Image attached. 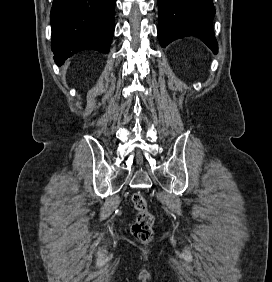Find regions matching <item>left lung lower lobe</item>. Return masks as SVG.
<instances>
[{"instance_id":"left-lung-lower-lobe-1","label":"left lung lower lobe","mask_w":272,"mask_h":282,"mask_svg":"<svg viewBox=\"0 0 272 282\" xmlns=\"http://www.w3.org/2000/svg\"><path fill=\"white\" fill-rule=\"evenodd\" d=\"M158 37L162 47L186 36L200 38L214 53L218 45L212 29V0H158Z\"/></svg>"}]
</instances>
